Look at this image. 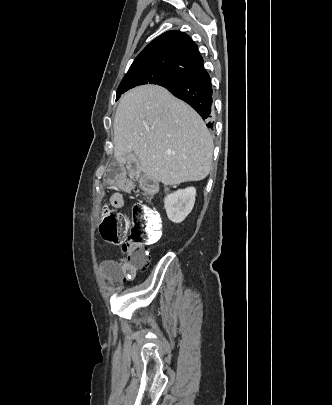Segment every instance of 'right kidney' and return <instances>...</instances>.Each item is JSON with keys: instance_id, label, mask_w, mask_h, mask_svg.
<instances>
[{"instance_id": "right-kidney-1", "label": "right kidney", "mask_w": 332, "mask_h": 405, "mask_svg": "<svg viewBox=\"0 0 332 405\" xmlns=\"http://www.w3.org/2000/svg\"><path fill=\"white\" fill-rule=\"evenodd\" d=\"M195 196L194 187L179 189L167 195L164 199V207L169 220L173 223L184 221L194 207Z\"/></svg>"}]
</instances>
